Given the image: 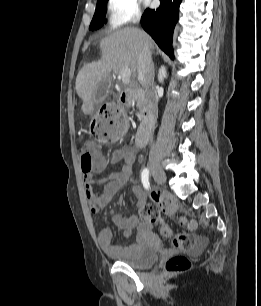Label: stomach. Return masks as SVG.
Returning <instances> with one entry per match:
<instances>
[{
    "instance_id": "obj_1",
    "label": "stomach",
    "mask_w": 261,
    "mask_h": 306,
    "mask_svg": "<svg viewBox=\"0 0 261 306\" xmlns=\"http://www.w3.org/2000/svg\"><path fill=\"white\" fill-rule=\"evenodd\" d=\"M95 119H96V117H95ZM127 128H128V122H127V120H124L123 121V131H126Z\"/></svg>"
}]
</instances>
